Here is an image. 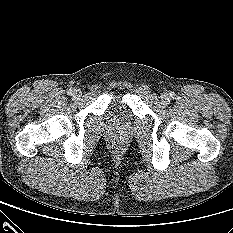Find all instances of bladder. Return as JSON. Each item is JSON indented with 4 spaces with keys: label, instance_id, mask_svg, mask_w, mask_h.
<instances>
[{
    "label": "bladder",
    "instance_id": "31cf9c89",
    "mask_svg": "<svg viewBox=\"0 0 233 233\" xmlns=\"http://www.w3.org/2000/svg\"><path fill=\"white\" fill-rule=\"evenodd\" d=\"M120 99H121V96L117 99V102H119V101H120Z\"/></svg>",
    "mask_w": 233,
    "mask_h": 233
}]
</instances>
